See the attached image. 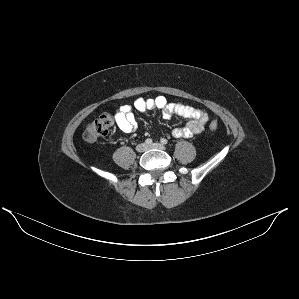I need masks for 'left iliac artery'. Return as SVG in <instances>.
I'll list each match as a JSON object with an SVG mask.
<instances>
[{
	"label": "left iliac artery",
	"instance_id": "1",
	"mask_svg": "<svg viewBox=\"0 0 299 299\" xmlns=\"http://www.w3.org/2000/svg\"><path fill=\"white\" fill-rule=\"evenodd\" d=\"M161 143L164 144V145H166V144L168 143V140L165 139V138H162V139H161Z\"/></svg>",
	"mask_w": 299,
	"mask_h": 299
}]
</instances>
